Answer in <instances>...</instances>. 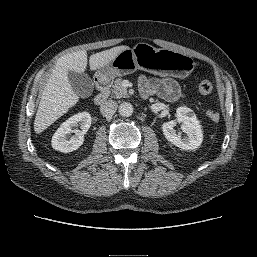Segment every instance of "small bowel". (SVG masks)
<instances>
[{"instance_id": "1", "label": "small bowel", "mask_w": 257, "mask_h": 257, "mask_svg": "<svg viewBox=\"0 0 257 257\" xmlns=\"http://www.w3.org/2000/svg\"><path fill=\"white\" fill-rule=\"evenodd\" d=\"M139 85L143 96L157 95L167 101H176L183 95L178 82L172 78L141 76Z\"/></svg>"}]
</instances>
